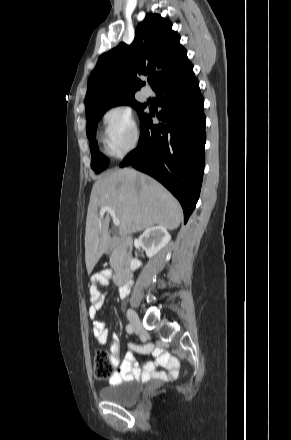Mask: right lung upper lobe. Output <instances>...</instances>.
I'll return each mask as SVG.
<instances>
[{"label": "right lung upper lobe", "instance_id": "cb5924a9", "mask_svg": "<svg viewBox=\"0 0 291 440\" xmlns=\"http://www.w3.org/2000/svg\"><path fill=\"white\" fill-rule=\"evenodd\" d=\"M192 66L180 36L168 19L147 14L137 26L130 46L120 43L102 54L88 79L86 113L134 97L145 83L140 75H151L155 90L162 82Z\"/></svg>", "mask_w": 291, "mask_h": 440}]
</instances>
